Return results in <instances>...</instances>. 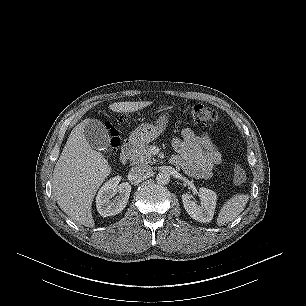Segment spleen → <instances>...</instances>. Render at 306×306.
<instances>
[{
    "label": "spleen",
    "mask_w": 306,
    "mask_h": 306,
    "mask_svg": "<svg viewBox=\"0 0 306 306\" xmlns=\"http://www.w3.org/2000/svg\"><path fill=\"white\" fill-rule=\"evenodd\" d=\"M248 200V194H236L227 200L218 214L217 225L223 226L233 221L244 210Z\"/></svg>",
    "instance_id": "obj_1"
}]
</instances>
